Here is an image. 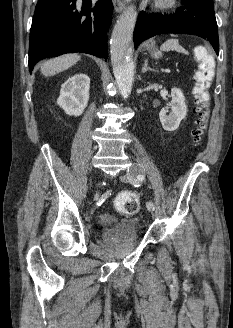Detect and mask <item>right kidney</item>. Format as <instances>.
I'll list each match as a JSON object with an SVG mask.
<instances>
[{
	"instance_id": "obj_1",
	"label": "right kidney",
	"mask_w": 233,
	"mask_h": 328,
	"mask_svg": "<svg viewBox=\"0 0 233 328\" xmlns=\"http://www.w3.org/2000/svg\"><path fill=\"white\" fill-rule=\"evenodd\" d=\"M90 78L84 73L69 77L61 85L57 104L68 115L80 116L89 100Z\"/></svg>"
}]
</instances>
